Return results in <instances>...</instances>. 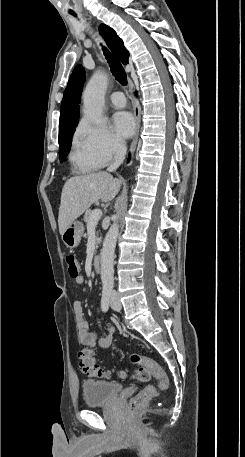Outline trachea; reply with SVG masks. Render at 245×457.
Wrapping results in <instances>:
<instances>
[{"instance_id":"1","label":"trachea","mask_w":245,"mask_h":457,"mask_svg":"<svg viewBox=\"0 0 245 457\" xmlns=\"http://www.w3.org/2000/svg\"><path fill=\"white\" fill-rule=\"evenodd\" d=\"M105 55L110 66V70L116 80L121 83V85H127V76L121 63H119L118 60H116V58L107 50H105Z\"/></svg>"}]
</instances>
